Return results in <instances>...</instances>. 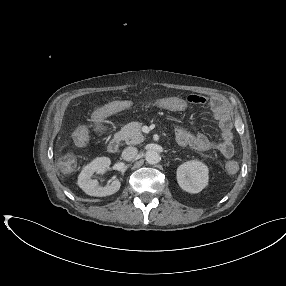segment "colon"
Listing matches in <instances>:
<instances>
[{
	"label": "colon",
	"instance_id": "5ec220e1",
	"mask_svg": "<svg viewBox=\"0 0 286 286\" xmlns=\"http://www.w3.org/2000/svg\"><path fill=\"white\" fill-rule=\"evenodd\" d=\"M193 96V95H191ZM190 97V96H189ZM74 142L78 146H83L88 141V130L86 127H80L74 134ZM64 163H66L68 166H73L75 164V158L72 155H68L64 158ZM237 169V164L234 162H229L227 164V170L229 172H235Z\"/></svg>",
	"mask_w": 286,
	"mask_h": 286
}]
</instances>
